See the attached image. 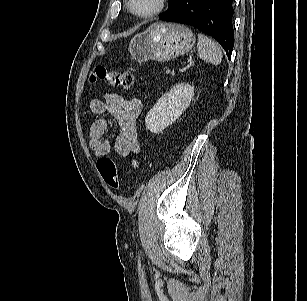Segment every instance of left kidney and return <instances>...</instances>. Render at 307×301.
Wrapping results in <instances>:
<instances>
[{"label": "left kidney", "instance_id": "5707ae66", "mask_svg": "<svg viewBox=\"0 0 307 301\" xmlns=\"http://www.w3.org/2000/svg\"><path fill=\"white\" fill-rule=\"evenodd\" d=\"M194 96V86L179 83L165 93L147 113L146 127L153 133H160L178 119L189 106Z\"/></svg>", "mask_w": 307, "mask_h": 301}]
</instances>
